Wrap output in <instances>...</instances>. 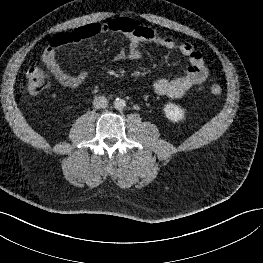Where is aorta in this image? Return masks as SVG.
I'll return each mask as SVG.
<instances>
[{
  "label": "aorta",
  "mask_w": 263,
  "mask_h": 263,
  "mask_svg": "<svg viewBox=\"0 0 263 263\" xmlns=\"http://www.w3.org/2000/svg\"><path fill=\"white\" fill-rule=\"evenodd\" d=\"M126 107V101L122 98H116L114 101V108L116 110H123Z\"/></svg>",
  "instance_id": "762f6f07"
}]
</instances>
